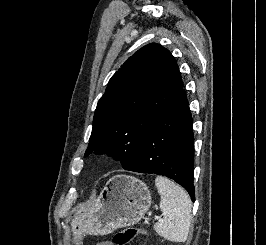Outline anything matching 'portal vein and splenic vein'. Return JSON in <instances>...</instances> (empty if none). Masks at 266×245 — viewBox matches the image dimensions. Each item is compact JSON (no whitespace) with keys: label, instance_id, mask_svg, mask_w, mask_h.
I'll return each instance as SVG.
<instances>
[{"label":"portal vein and splenic vein","instance_id":"obj_1","mask_svg":"<svg viewBox=\"0 0 266 245\" xmlns=\"http://www.w3.org/2000/svg\"><path fill=\"white\" fill-rule=\"evenodd\" d=\"M155 219H159V217H155Z\"/></svg>","mask_w":266,"mask_h":245}]
</instances>
